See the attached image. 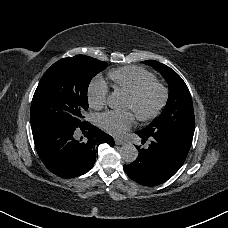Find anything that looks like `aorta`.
Listing matches in <instances>:
<instances>
[{"mask_svg":"<svg viewBox=\"0 0 228 228\" xmlns=\"http://www.w3.org/2000/svg\"><path fill=\"white\" fill-rule=\"evenodd\" d=\"M107 104L114 110H121L125 107L126 99L123 94L114 91L109 95ZM120 155L126 163H132L138 156V150L133 144H124L120 149Z\"/></svg>","mask_w":228,"mask_h":228,"instance_id":"aorta-1","label":"aorta"}]
</instances>
